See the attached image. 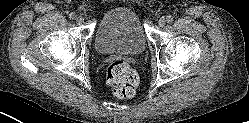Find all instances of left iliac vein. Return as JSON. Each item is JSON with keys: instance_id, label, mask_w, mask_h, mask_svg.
<instances>
[{"instance_id": "4c4485c4", "label": "left iliac vein", "mask_w": 249, "mask_h": 123, "mask_svg": "<svg viewBox=\"0 0 249 123\" xmlns=\"http://www.w3.org/2000/svg\"><path fill=\"white\" fill-rule=\"evenodd\" d=\"M158 24H159L160 27L165 26V24H166V19H165V17H161V18L159 19V21H158Z\"/></svg>"}]
</instances>
